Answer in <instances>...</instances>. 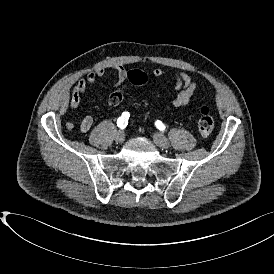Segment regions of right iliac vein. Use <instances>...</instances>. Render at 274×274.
I'll use <instances>...</instances> for the list:
<instances>
[{
    "label": "right iliac vein",
    "mask_w": 274,
    "mask_h": 274,
    "mask_svg": "<svg viewBox=\"0 0 274 274\" xmlns=\"http://www.w3.org/2000/svg\"><path fill=\"white\" fill-rule=\"evenodd\" d=\"M125 140V134L122 131H119L115 135V141L119 144L123 143Z\"/></svg>",
    "instance_id": "obj_1"
}]
</instances>
